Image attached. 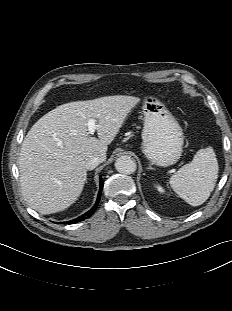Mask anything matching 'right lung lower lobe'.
Segmentation results:
<instances>
[{
  "label": "right lung lower lobe",
  "instance_id": "obj_1",
  "mask_svg": "<svg viewBox=\"0 0 232 311\" xmlns=\"http://www.w3.org/2000/svg\"><path fill=\"white\" fill-rule=\"evenodd\" d=\"M102 189H103V180L100 177V189H99L98 199H97V202H96L95 206L93 208H91L88 212H86L85 214L81 215L80 217H78V218H76V219H74L72 221L63 222V224L77 223V222H80V221L90 217L95 212V210H96V208L98 206V203H99L100 197H101Z\"/></svg>",
  "mask_w": 232,
  "mask_h": 311
}]
</instances>
